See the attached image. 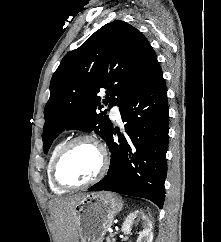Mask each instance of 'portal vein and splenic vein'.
<instances>
[{
	"label": "portal vein and splenic vein",
	"instance_id": "obj_1",
	"mask_svg": "<svg viewBox=\"0 0 221 242\" xmlns=\"http://www.w3.org/2000/svg\"><path fill=\"white\" fill-rule=\"evenodd\" d=\"M113 229H110V236L113 237L114 236V233H113Z\"/></svg>",
	"mask_w": 221,
	"mask_h": 242
}]
</instances>
